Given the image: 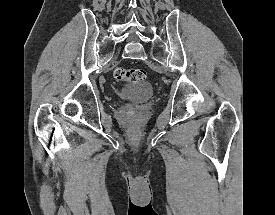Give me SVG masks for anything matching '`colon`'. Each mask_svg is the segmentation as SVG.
I'll return each instance as SVG.
<instances>
[{"instance_id": "5ec220e1", "label": "colon", "mask_w": 275, "mask_h": 215, "mask_svg": "<svg viewBox=\"0 0 275 215\" xmlns=\"http://www.w3.org/2000/svg\"><path fill=\"white\" fill-rule=\"evenodd\" d=\"M114 77L117 81L139 82L146 78V71L143 69L117 67L114 70Z\"/></svg>"}]
</instances>
